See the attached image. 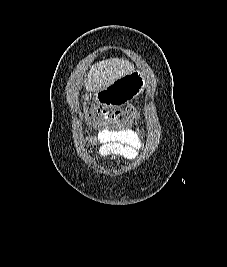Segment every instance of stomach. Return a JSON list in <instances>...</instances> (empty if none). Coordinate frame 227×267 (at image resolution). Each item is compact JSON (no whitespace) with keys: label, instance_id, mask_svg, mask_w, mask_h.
Wrapping results in <instances>:
<instances>
[{"label":"stomach","instance_id":"stomach-1","mask_svg":"<svg viewBox=\"0 0 227 267\" xmlns=\"http://www.w3.org/2000/svg\"><path fill=\"white\" fill-rule=\"evenodd\" d=\"M125 76L115 77V82H110V87H99V91H93V99H89V104H104V107H126V104H133L136 96H142L145 83L151 82H142V73H126Z\"/></svg>","mask_w":227,"mask_h":267}]
</instances>
